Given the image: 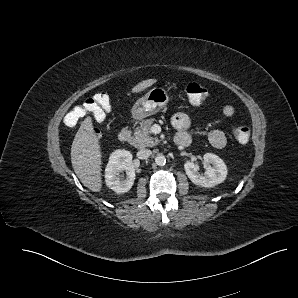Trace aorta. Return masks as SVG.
I'll list each match as a JSON object with an SVG mask.
<instances>
[{"label": "aorta", "mask_w": 298, "mask_h": 298, "mask_svg": "<svg viewBox=\"0 0 298 298\" xmlns=\"http://www.w3.org/2000/svg\"><path fill=\"white\" fill-rule=\"evenodd\" d=\"M155 163L158 165V166H163L165 163H166V158L163 154H158L156 157H155Z\"/></svg>", "instance_id": "aorta-1"}]
</instances>
